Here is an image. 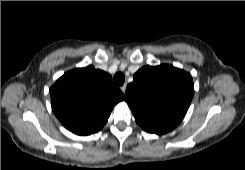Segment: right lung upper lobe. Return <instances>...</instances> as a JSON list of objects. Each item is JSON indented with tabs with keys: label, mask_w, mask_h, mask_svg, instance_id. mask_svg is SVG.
<instances>
[{
	"label": "right lung upper lobe",
	"mask_w": 245,
	"mask_h": 170,
	"mask_svg": "<svg viewBox=\"0 0 245 170\" xmlns=\"http://www.w3.org/2000/svg\"><path fill=\"white\" fill-rule=\"evenodd\" d=\"M50 97L59 121L71 132L85 136L102 129L124 95L110 74L88 66L60 77L51 87Z\"/></svg>",
	"instance_id": "obj_1"
}]
</instances>
